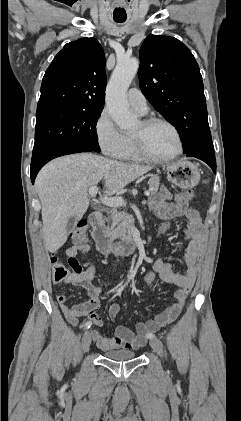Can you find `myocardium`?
I'll return each mask as SVG.
<instances>
[{"mask_svg":"<svg viewBox=\"0 0 241 421\" xmlns=\"http://www.w3.org/2000/svg\"><path fill=\"white\" fill-rule=\"evenodd\" d=\"M141 127L138 131L132 132L131 137L138 154L147 161L164 164L175 160L183 151V139L179 129L171 121L161 117H147L140 121ZM155 124H164L172 129L177 139L176 151L167 157H156L152 155L146 147L145 132Z\"/></svg>","mask_w":241,"mask_h":421,"instance_id":"f54148a6","label":"myocardium"}]
</instances>
